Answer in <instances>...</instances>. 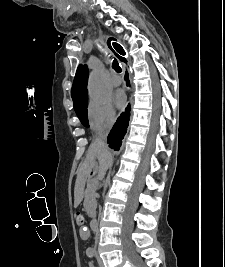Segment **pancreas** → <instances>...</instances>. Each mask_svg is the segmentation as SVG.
Segmentation results:
<instances>
[{"instance_id":"obj_1","label":"pancreas","mask_w":225,"mask_h":267,"mask_svg":"<svg viewBox=\"0 0 225 267\" xmlns=\"http://www.w3.org/2000/svg\"><path fill=\"white\" fill-rule=\"evenodd\" d=\"M94 193H95V187L93 184H90L86 189V195L84 200V208L90 217H93L95 215Z\"/></svg>"}]
</instances>
